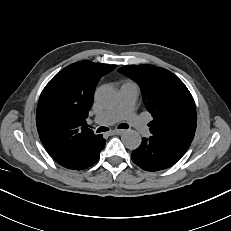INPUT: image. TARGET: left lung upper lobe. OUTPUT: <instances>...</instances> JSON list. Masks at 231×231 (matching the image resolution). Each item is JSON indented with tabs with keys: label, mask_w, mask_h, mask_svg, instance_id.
Returning <instances> with one entry per match:
<instances>
[{
	"label": "left lung upper lobe",
	"mask_w": 231,
	"mask_h": 231,
	"mask_svg": "<svg viewBox=\"0 0 231 231\" xmlns=\"http://www.w3.org/2000/svg\"><path fill=\"white\" fill-rule=\"evenodd\" d=\"M138 83L152 114V135L173 140L188 149L195 134L197 114L193 97L172 72L153 65H128L118 70Z\"/></svg>",
	"instance_id": "1"
}]
</instances>
